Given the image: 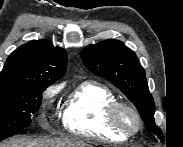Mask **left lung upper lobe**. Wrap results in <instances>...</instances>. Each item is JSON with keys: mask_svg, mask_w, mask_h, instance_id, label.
Returning <instances> with one entry per match:
<instances>
[{"mask_svg": "<svg viewBox=\"0 0 183 147\" xmlns=\"http://www.w3.org/2000/svg\"><path fill=\"white\" fill-rule=\"evenodd\" d=\"M81 58L88 70L110 81L127 96L147 130L162 140V131L154 122V99L136 54L121 41L110 39L85 47Z\"/></svg>", "mask_w": 183, "mask_h": 147, "instance_id": "left-lung-upper-lobe-1", "label": "left lung upper lobe"}]
</instances>
